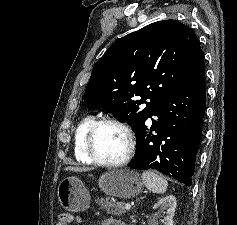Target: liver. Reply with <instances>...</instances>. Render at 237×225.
I'll return each instance as SVG.
<instances>
[{"label": "liver", "mask_w": 237, "mask_h": 225, "mask_svg": "<svg viewBox=\"0 0 237 225\" xmlns=\"http://www.w3.org/2000/svg\"><path fill=\"white\" fill-rule=\"evenodd\" d=\"M91 168H82V167H73V166H68L65 168V171H72V172H87L90 171Z\"/></svg>", "instance_id": "liver-1"}]
</instances>
